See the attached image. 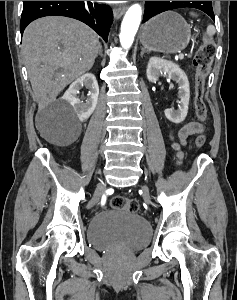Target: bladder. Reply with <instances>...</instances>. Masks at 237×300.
<instances>
[{"label": "bladder", "mask_w": 237, "mask_h": 300, "mask_svg": "<svg viewBox=\"0 0 237 300\" xmlns=\"http://www.w3.org/2000/svg\"><path fill=\"white\" fill-rule=\"evenodd\" d=\"M89 243L102 250H136L151 239V227L138 214L122 210H106L94 215L88 224Z\"/></svg>", "instance_id": "obj_1"}]
</instances>
